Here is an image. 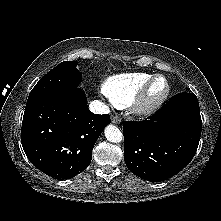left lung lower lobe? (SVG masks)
Returning <instances> with one entry per match:
<instances>
[{"mask_svg":"<svg viewBox=\"0 0 221 221\" xmlns=\"http://www.w3.org/2000/svg\"><path fill=\"white\" fill-rule=\"evenodd\" d=\"M201 129L197 97L190 92L173 96L148 120L124 123L127 168L152 182L175 175L194 157Z\"/></svg>","mask_w":221,"mask_h":221,"instance_id":"1","label":"left lung lower lobe"}]
</instances>
